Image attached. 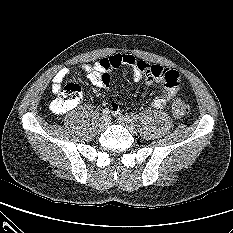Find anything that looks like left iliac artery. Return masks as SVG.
<instances>
[{
	"label": "left iliac artery",
	"mask_w": 233,
	"mask_h": 233,
	"mask_svg": "<svg viewBox=\"0 0 233 233\" xmlns=\"http://www.w3.org/2000/svg\"><path fill=\"white\" fill-rule=\"evenodd\" d=\"M133 121H137L138 119H139V117L138 116H133Z\"/></svg>",
	"instance_id": "left-iliac-artery-1"
}]
</instances>
